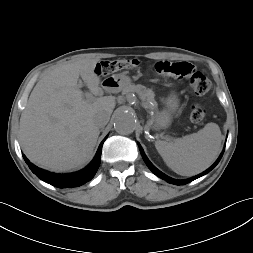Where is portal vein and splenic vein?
<instances>
[{
  "instance_id": "1",
  "label": "portal vein and splenic vein",
  "mask_w": 253,
  "mask_h": 253,
  "mask_svg": "<svg viewBox=\"0 0 253 253\" xmlns=\"http://www.w3.org/2000/svg\"><path fill=\"white\" fill-rule=\"evenodd\" d=\"M85 96H86V99H87V102H91L92 101V94L91 93H89V92H86L85 93Z\"/></svg>"
}]
</instances>
